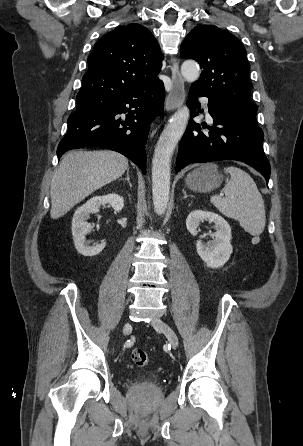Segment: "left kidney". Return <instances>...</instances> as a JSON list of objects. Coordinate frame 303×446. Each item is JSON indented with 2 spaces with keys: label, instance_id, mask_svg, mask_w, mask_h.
Here are the masks:
<instances>
[{
  "label": "left kidney",
  "instance_id": "left-kidney-1",
  "mask_svg": "<svg viewBox=\"0 0 303 446\" xmlns=\"http://www.w3.org/2000/svg\"><path fill=\"white\" fill-rule=\"evenodd\" d=\"M209 221L215 225L216 232L212 233L213 240L204 244L197 240L196 248L200 258L210 268L222 267L230 258L233 252L231 245V228L228 222L220 215L203 210L192 211L186 219L187 230L193 235H197V229L201 222Z\"/></svg>",
  "mask_w": 303,
  "mask_h": 446
}]
</instances>
